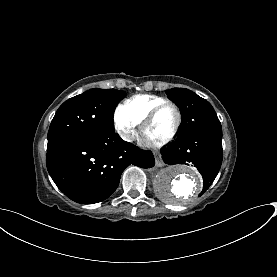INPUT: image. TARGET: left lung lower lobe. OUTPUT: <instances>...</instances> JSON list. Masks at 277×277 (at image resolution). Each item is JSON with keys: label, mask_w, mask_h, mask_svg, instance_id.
<instances>
[{"label": "left lung lower lobe", "mask_w": 277, "mask_h": 277, "mask_svg": "<svg viewBox=\"0 0 277 277\" xmlns=\"http://www.w3.org/2000/svg\"><path fill=\"white\" fill-rule=\"evenodd\" d=\"M161 154L164 162L169 165L193 164L203 177V194L221 167L222 129L209 128L178 136L174 143L161 150Z\"/></svg>", "instance_id": "left-lung-lower-lobe-1"}]
</instances>
